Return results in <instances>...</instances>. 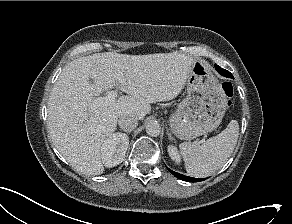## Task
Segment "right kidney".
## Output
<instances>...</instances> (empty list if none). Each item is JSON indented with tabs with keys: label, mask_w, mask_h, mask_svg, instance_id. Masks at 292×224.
Masks as SVG:
<instances>
[{
	"label": "right kidney",
	"mask_w": 292,
	"mask_h": 224,
	"mask_svg": "<svg viewBox=\"0 0 292 224\" xmlns=\"http://www.w3.org/2000/svg\"><path fill=\"white\" fill-rule=\"evenodd\" d=\"M129 138L123 133H114L109 136L101 151L102 163L111 168L119 165L125 158L128 149Z\"/></svg>",
	"instance_id": "obj_1"
}]
</instances>
